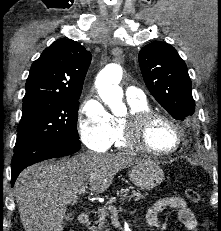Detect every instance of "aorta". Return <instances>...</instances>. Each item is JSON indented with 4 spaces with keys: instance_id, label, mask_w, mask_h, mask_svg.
<instances>
[{
    "instance_id": "obj_1",
    "label": "aorta",
    "mask_w": 221,
    "mask_h": 231,
    "mask_svg": "<svg viewBox=\"0 0 221 231\" xmlns=\"http://www.w3.org/2000/svg\"><path fill=\"white\" fill-rule=\"evenodd\" d=\"M122 73L121 66L109 64L98 74L96 79L99 96L115 115L121 114L124 109L123 90L119 86Z\"/></svg>"
}]
</instances>
